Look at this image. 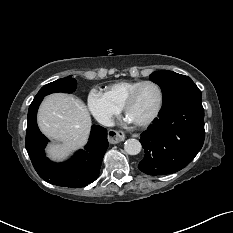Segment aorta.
I'll return each mask as SVG.
<instances>
[{
  "label": "aorta",
  "instance_id": "762f6f07",
  "mask_svg": "<svg viewBox=\"0 0 233 233\" xmlns=\"http://www.w3.org/2000/svg\"><path fill=\"white\" fill-rule=\"evenodd\" d=\"M141 149L142 145L137 139H128L124 143V150L129 155H136Z\"/></svg>",
  "mask_w": 233,
  "mask_h": 233
}]
</instances>
